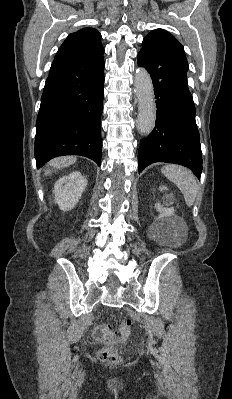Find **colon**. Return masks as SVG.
I'll return each mask as SVG.
<instances>
[{"label":"colon","mask_w":232,"mask_h":399,"mask_svg":"<svg viewBox=\"0 0 232 399\" xmlns=\"http://www.w3.org/2000/svg\"><path fill=\"white\" fill-rule=\"evenodd\" d=\"M130 323L124 321L120 326H94L92 340L98 341V347H114V351H100V358L103 364L111 365L115 361V353L121 352V347L116 346V341L124 340V328Z\"/></svg>","instance_id":"colon-1"}]
</instances>
